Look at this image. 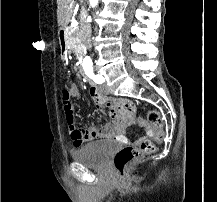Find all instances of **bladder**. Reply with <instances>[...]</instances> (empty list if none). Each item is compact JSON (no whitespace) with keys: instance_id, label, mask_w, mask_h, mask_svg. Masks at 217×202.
<instances>
[{"instance_id":"31cf9c89","label":"bladder","mask_w":217,"mask_h":202,"mask_svg":"<svg viewBox=\"0 0 217 202\" xmlns=\"http://www.w3.org/2000/svg\"><path fill=\"white\" fill-rule=\"evenodd\" d=\"M116 148L115 140H105L74 150L71 157L83 166H101Z\"/></svg>"}]
</instances>
